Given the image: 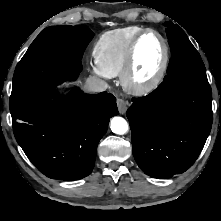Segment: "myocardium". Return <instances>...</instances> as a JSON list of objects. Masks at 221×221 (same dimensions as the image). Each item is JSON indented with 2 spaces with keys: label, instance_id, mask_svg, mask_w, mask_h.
<instances>
[{
  "label": "myocardium",
  "instance_id": "1",
  "mask_svg": "<svg viewBox=\"0 0 221 221\" xmlns=\"http://www.w3.org/2000/svg\"><path fill=\"white\" fill-rule=\"evenodd\" d=\"M147 34H154L160 39L163 46V59L159 67V70L150 81H148L145 84H136L132 79L133 70L135 66L136 50L140 40ZM169 58H170L169 46L165 37L155 29L146 28L142 30L134 37L128 48L125 64L121 72V83L123 87L128 92L135 95H146L154 91L160 85V83L164 78V75L166 73L169 64Z\"/></svg>",
  "mask_w": 221,
  "mask_h": 221
}]
</instances>
